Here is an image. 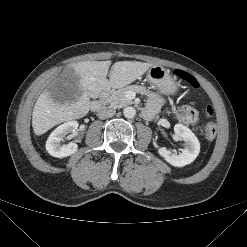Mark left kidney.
I'll use <instances>...</instances> for the list:
<instances>
[{
	"label": "left kidney",
	"mask_w": 247,
	"mask_h": 247,
	"mask_svg": "<svg viewBox=\"0 0 247 247\" xmlns=\"http://www.w3.org/2000/svg\"><path fill=\"white\" fill-rule=\"evenodd\" d=\"M174 132L179 140L185 142V147L180 149L181 152L172 153L167 148L161 147L158 153L171 165L183 167L191 164L200 152V143L194 133L183 124H176Z\"/></svg>",
	"instance_id": "1"
}]
</instances>
